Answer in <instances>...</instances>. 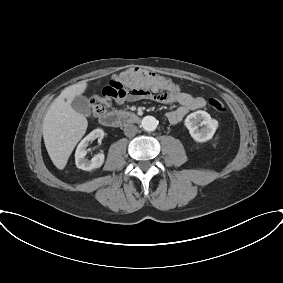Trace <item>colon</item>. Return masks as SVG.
<instances>
[{
  "label": "colon",
  "mask_w": 283,
  "mask_h": 283,
  "mask_svg": "<svg viewBox=\"0 0 283 283\" xmlns=\"http://www.w3.org/2000/svg\"><path fill=\"white\" fill-rule=\"evenodd\" d=\"M170 88L171 80L161 74L138 67L127 68L116 74L101 94L92 97V117L100 118L110 110L114 100L127 95L149 98L154 94L166 95ZM208 104L215 112L226 111L224 102L219 98H210Z\"/></svg>",
  "instance_id": "5ec220e1"
}]
</instances>
